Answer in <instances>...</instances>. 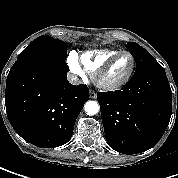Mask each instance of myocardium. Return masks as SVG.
<instances>
[{"mask_svg":"<svg viewBox=\"0 0 178 178\" xmlns=\"http://www.w3.org/2000/svg\"><path fill=\"white\" fill-rule=\"evenodd\" d=\"M129 55L132 60V67L124 78L114 83H106L103 81V76L107 70L112 66V64L122 55ZM136 69V59L130 51H119L114 56L109 58L97 71L94 72L93 80L95 85L104 91H116L124 87L132 78Z\"/></svg>","mask_w":178,"mask_h":178,"instance_id":"1","label":"myocardium"}]
</instances>
